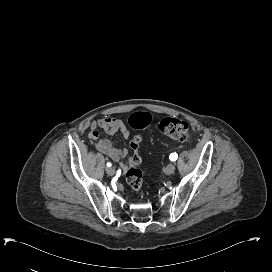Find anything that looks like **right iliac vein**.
<instances>
[{"label": "right iliac vein", "instance_id": "1", "mask_svg": "<svg viewBox=\"0 0 272 272\" xmlns=\"http://www.w3.org/2000/svg\"><path fill=\"white\" fill-rule=\"evenodd\" d=\"M106 172H107L108 175H111V176H112V175L115 174L116 171H115V168H114V167H111V166H110V167H107V168H106Z\"/></svg>", "mask_w": 272, "mask_h": 272}]
</instances>
